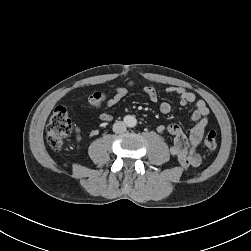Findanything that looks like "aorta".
Instances as JSON below:
<instances>
[{"instance_id":"762f6f07","label":"aorta","mask_w":251,"mask_h":251,"mask_svg":"<svg viewBox=\"0 0 251 251\" xmlns=\"http://www.w3.org/2000/svg\"><path fill=\"white\" fill-rule=\"evenodd\" d=\"M125 120L128 127H134L137 124V120L134 116H127Z\"/></svg>"}]
</instances>
